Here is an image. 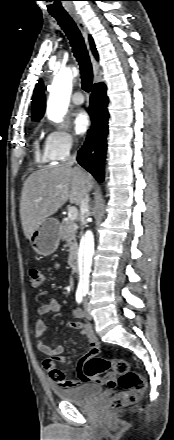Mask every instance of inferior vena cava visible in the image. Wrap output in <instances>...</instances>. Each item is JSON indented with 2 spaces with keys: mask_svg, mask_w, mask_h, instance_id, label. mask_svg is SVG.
Returning <instances> with one entry per match:
<instances>
[{
  "mask_svg": "<svg viewBox=\"0 0 174 440\" xmlns=\"http://www.w3.org/2000/svg\"><path fill=\"white\" fill-rule=\"evenodd\" d=\"M76 163V153L67 159L66 165L72 166ZM89 195L86 193L80 202V220L82 228L86 225V218L89 216Z\"/></svg>",
  "mask_w": 174,
  "mask_h": 440,
  "instance_id": "602c4592",
  "label": "inferior vena cava"
}]
</instances>
